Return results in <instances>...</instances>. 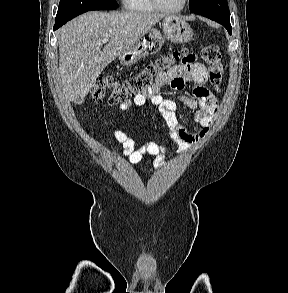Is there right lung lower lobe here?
<instances>
[{
	"label": "right lung lower lobe",
	"instance_id": "obj_1",
	"mask_svg": "<svg viewBox=\"0 0 288 293\" xmlns=\"http://www.w3.org/2000/svg\"><path fill=\"white\" fill-rule=\"evenodd\" d=\"M59 27H61V26H54V30L58 29Z\"/></svg>",
	"mask_w": 288,
	"mask_h": 293
}]
</instances>
